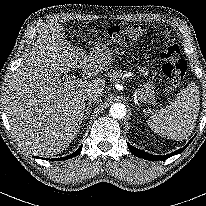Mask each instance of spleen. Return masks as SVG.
Instances as JSON below:
<instances>
[{
    "label": "spleen",
    "mask_w": 206,
    "mask_h": 206,
    "mask_svg": "<svg viewBox=\"0 0 206 206\" xmlns=\"http://www.w3.org/2000/svg\"><path fill=\"white\" fill-rule=\"evenodd\" d=\"M199 87L195 82L181 90L165 107L156 110L147 124L154 133L174 140L187 139L195 125L200 106Z\"/></svg>",
    "instance_id": "1"
}]
</instances>
